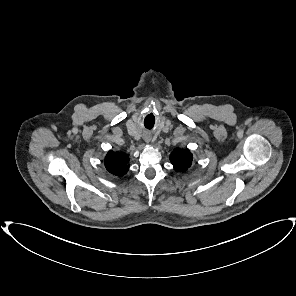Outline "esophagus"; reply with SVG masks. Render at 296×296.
Masks as SVG:
<instances>
[{"label": "esophagus", "mask_w": 296, "mask_h": 296, "mask_svg": "<svg viewBox=\"0 0 296 296\" xmlns=\"http://www.w3.org/2000/svg\"><path fill=\"white\" fill-rule=\"evenodd\" d=\"M144 140H145V142L149 143L150 140H151V137H150V136H145V137H144Z\"/></svg>", "instance_id": "34e87169"}]
</instances>
